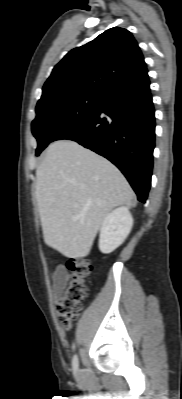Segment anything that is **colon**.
<instances>
[{"mask_svg":"<svg viewBox=\"0 0 182 399\" xmlns=\"http://www.w3.org/2000/svg\"><path fill=\"white\" fill-rule=\"evenodd\" d=\"M68 270L71 281L57 303V318L66 329H70L72 322L78 317V309L87 295V278L92 271V264L88 258H78L69 261Z\"/></svg>","mask_w":182,"mask_h":399,"instance_id":"obj_1","label":"colon"}]
</instances>
